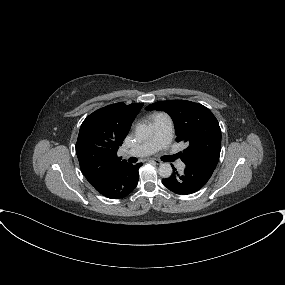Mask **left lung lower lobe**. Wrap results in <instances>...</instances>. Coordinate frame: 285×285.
<instances>
[{"label":"left lung lower lobe","mask_w":285,"mask_h":285,"mask_svg":"<svg viewBox=\"0 0 285 285\" xmlns=\"http://www.w3.org/2000/svg\"><path fill=\"white\" fill-rule=\"evenodd\" d=\"M217 163L213 160L186 163L183 174H178L173 167V174L169 178L163 179L162 183L176 194L187 195L195 193L208 182Z\"/></svg>","instance_id":"left-lung-lower-lobe-1"}]
</instances>
